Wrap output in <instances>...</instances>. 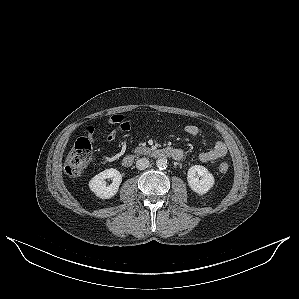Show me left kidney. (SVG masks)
<instances>
[{
	"mask_svg": "<svg viewBox=\"0 0 299 299\" xmlns=\"http://www.w3.org/2000/svg\"><path fill=\"white\" fill-rule=\"evenodd\" d=\"M199 177H201L199 179ZM189 187L198 194L207 193L214 185V176L201 165H194L187 172Z\"/></svg>",
	"mask_w": 299,
	"mask_h": 299,
	"instance_id": "obj_1",
	"label": "left kidney"
}]
</instances>
